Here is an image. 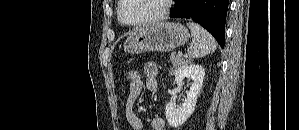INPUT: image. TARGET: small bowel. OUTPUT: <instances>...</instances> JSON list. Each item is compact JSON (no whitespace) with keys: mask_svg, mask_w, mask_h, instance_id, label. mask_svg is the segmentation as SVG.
<instances>
[{"mask_svg":"<svg viewBox=\"0 0 299 130\" xmlns=\"http://www.w3.org/2000/svg\"><path fill=\"white\" fill-rule=\"evenodd\" d=\"M145 80L129 85L128 96L125 104V117L133 130H141L143 123L140 117L134 112L133 105L135 100L146 87L149 91L157 88L158 66L154 62H147L144 66ZM164 120L161 117H154L151 121L152 130H164Z\"/></svg>","mask_w":299,"mask_h":130,"instance_id":"c3829d8e","label":"small bowel"}]
</instances>
